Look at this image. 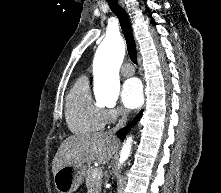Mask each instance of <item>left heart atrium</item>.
Masks as SVG:
<instances>
[{"instance_id": "obj_1", "label": "left heart atrium", "mask_w": 221, "mask_h": 193, "mask_svg": "<svg viewBox=\"0 0 221 193\" xmlns=\"http://www.w3.org/2000/svg\"><path fill=\"white\" fill-rule=\"evenodd\" d=\"M121 101L128 109H136L143 102V89L138 79L127 80L121 91Z\"/></svg>"}]
</instances>
